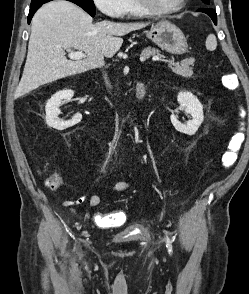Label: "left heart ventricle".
Segmentation results:
<instances>
[{"label": "left heart ventricle", "instance_id": "1", "mask_svg": "<svg viewBox=\"0 0 249 294\" xmlns=\"http://www.w3.org/2000/svg\"><path fill=\"white\" fill-rule=\"evenodd\" d=\"M152 5L159 10L174 7L180 0H150Z\"/></svg>", "mask_w": 249, "mask_h": 294}]
</instances>
